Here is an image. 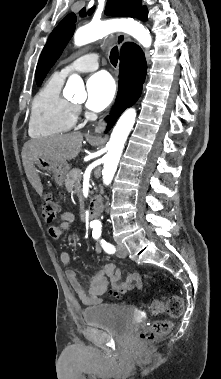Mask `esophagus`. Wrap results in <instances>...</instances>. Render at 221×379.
Instances as JSON below:
<instances>
[{
  "mask_svg": "<svg viewBox=\"0 0 221 379\" xmlns=\"http://www.w3.org/2000/svg\"><path fill=\"white\" fill-rule=\"evenodd\" d=\"M127 41H131L130 37L123 34V33H118L116 35V43L118 45V48L120 49L123 44ZM105 127H106V123H105V120H101L100 123L98 124V126L96 127L95 129V133L97 134H100L102 133L104 130H105Z\"/></svg>",
  "mask_w": 221,
  "mask_h": 379,
  "instance_id": "obj_1",
  "label": "esophagus"
}]
</instances>
